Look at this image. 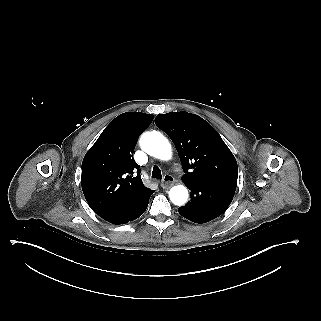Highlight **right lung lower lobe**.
Segmentation results:
<instances>
[{
    "instance_id": "right-lung-lower-lobe-1",
    "label": "right lung lower lobe",
    "mask_w": 321,
    "mask_h": 321,
    "mask_svg": "<svg viewBox=\"0 0 321 321\" xmlns=\"http://www.w3.org/2000/svg\"><path fill=\"white\" fill-rule=\"evenodd\" d=\"M153 193L154 191L149 189L127 204L98 215L104 220L116 225L133 221L144 213L148 206L149 198Z\"/></svg>"
}]
</instances>
